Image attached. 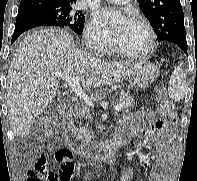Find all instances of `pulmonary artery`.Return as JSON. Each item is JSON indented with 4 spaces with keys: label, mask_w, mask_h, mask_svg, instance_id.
I'll return each mask as SVG.
<instances>
[{
    "label": "pulmonary artery",
    "mask_w": 197,
    "mask_h": 181,
    "mask_svg": "<svg viewBox=\"0 0 197 181\" xmlns=\"http://www.w3.org/2000/svg\"><path fill=\"white\" fill-rule=\"evenodd\" d=\"M110 2H114V3H117V4H125L127 3L129 0H108Z\"/></svg>",
    "instance_id": "e3ab8cb5"
}]
</instances>
